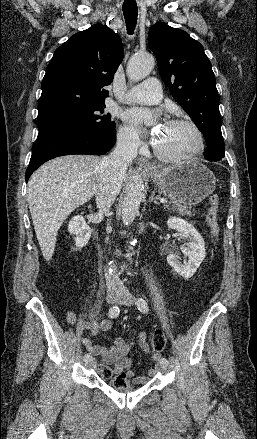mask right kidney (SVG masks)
<instances>
[{
	"label": "right kidney",
	"instance_id": "1",
	"mask_svg": "<svg viewBox=\"0 0 257 439\" xmlns=\"http://www.w3.org/2000/svg\"><path fill=\"white\" fill-rule=\"evenodd\" d=\"M68 231L75 236V245L78 248L84 247L91 236V228L86 224L83 216H74L69 224Z\"/></svg>",
	"mask_w": 257,
	"mask_h": 439
}]
</instances>
